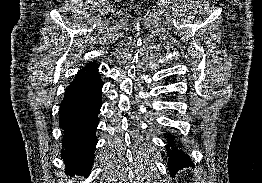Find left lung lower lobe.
I'll use <instances>...</instances> for the list:
<instances>
[{"label":"left lung lower lobe","instance_id":"obj_1","mask_svg":"<svg viewBox=\"0 0 262 183\" xmlns=\"http://www.w3.org/2000/svg\"><path fill=\"white\" fill-rule=\"evenodd\" d=\"M170 141L169 146H172L173 150H168L169 158H168V167L171 175H174L180 169L186 166H193V163L189 156L185 154L183 151L178 150L175 146L174 142H172V138H168ZM168 148V147H167Z\"/></svg>","mask_w":262,"mask_h":183}]
</instances>
